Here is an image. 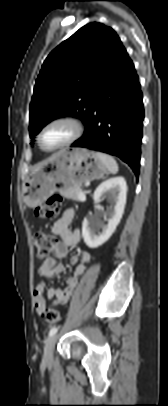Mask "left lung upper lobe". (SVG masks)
<instances>
[{
	"mask_svg": "<svg viewBox=\"0 0 168 406\" xmlns=\"http://www.w3.org/2000/svg\"><path fill=\"white\" fill-rule=\"evenodd\" d=\"M124 50L116 32L97 22L83 26L56 47L36 80L30 136L61 116L80 117L87 124L100 90Z\"/></svg>",
	"mask_w": 168,
	"mask_h": 406,
	"instance_id": "1",
	"label": "left lung upper lobe"
}]
</instances>
